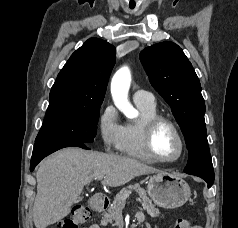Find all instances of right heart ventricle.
I'll return each instance as SVG.
<instances>
[{"label": "right heart ventricle", "instance_id": "right-heart-ventricle-1", "mask_svg": "<svg viewBox=\"0 0 238 228\" xmlns=\"http://www.w3.org/2000/svg\"><path fill=\"white\" fill-rule=\"evenodd\" d=\"M140 116L136 121L122 125V135L118 150L129 157L139 160L154 162L155 160L147 153L143 141V124L148 119L158 115L156 105L137 104Z\"/></svg>", "mask_w": 238, "mask_h": 228}]
</instances>
